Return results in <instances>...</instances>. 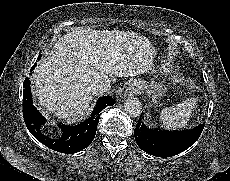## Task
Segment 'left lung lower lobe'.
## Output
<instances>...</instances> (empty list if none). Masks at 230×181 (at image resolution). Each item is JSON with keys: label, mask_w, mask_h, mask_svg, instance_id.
<instances>
[{"label": "left lung lower lobe", "mask_w": 230, "mask_h": 181, "mask_svg": "<svg viewBox=\"0 0 230 181\" xmlns=\"http://www.w3.org/2000/svg\"><path fill=\"white\" fill-rule=\"evenodd\" d=\"M204 124L191 130L164 131L149 129L141 123V117L134 130V137L140 149L157 157L175 156L190 146L200 137Z\"/></svg>", "instance_id": "1"}]
</instances>
